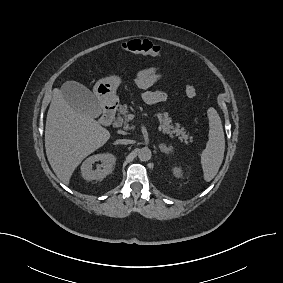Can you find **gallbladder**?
Wrapping results in <instances>:
<instances>
[{"instance_id": "obj_1", "label": "gallbladder", "mask_w": 283, "mask_h": 283, "mask_svg": "<svg viewBox=\"0 0 283 283\" xmlns=\"http://www.w3.org/2000/svg\"><path fill=\"white\" fill-rule=\"evenodd\" d=\"M64 99L75 111L98 117L102 109L93 93L84 85L76 81H66L61 86Z\"/></svg>"}]
</instances>
